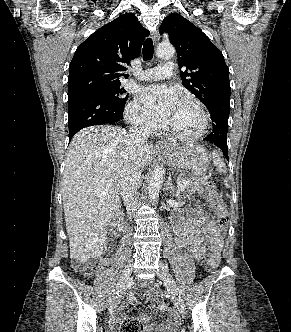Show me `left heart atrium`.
Returning a JSON list of instances; mask_svg holds the SVG:
<instances>
[{"mask_svg":"<svg viewBox=\"0 0 291 332\" xmlns=\"http://www.w3.org/2000/svg\"><path fill=\"white\" fill-rule=\"evenodd\" d=\"M138 96L150 116L164 123L169 122L172 112L179 102L175 89L160 84L141 88Z\"/></svg>","mask_w":291,"mask_h":332,"instance_id":"obj_1","label":"left heart atrium"}]
</instances>
